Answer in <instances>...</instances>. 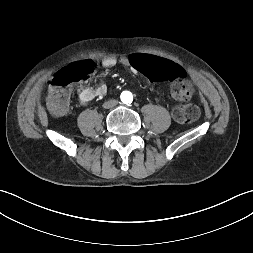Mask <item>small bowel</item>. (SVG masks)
I'll return each mask as SVG.
<instances>
[{"label": "small bowel", "mask_w": 253, "mask_h": 253, "mask_svg": "<svg viewBox=\"0 0 253 253\" xmlns=\"http://www.w3.org/2000/svg\"><path fill=\"white\" fill-rule=\"evenodd\" d=\"M134 55L135 54L125 56L120 59L113 57V56H107L102 59L101 64L104 68H111V67L115 66L117 63H121L125 66H128L131 69L130 60ZM106 93H107V87L104 84H100L95 88L82 87L79 90L78 98L81 103H87L95 98L103 97Z\"/></svg>", "instance_id": "c3829d8e"}]
</instances>
